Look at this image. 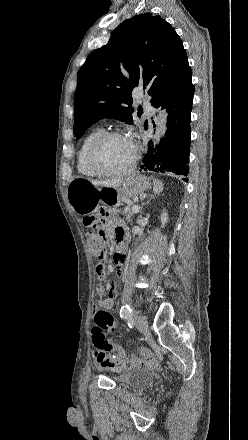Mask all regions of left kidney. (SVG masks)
I'll list each match as a JSON object with an SVG mask.
<instances>
[{
  "label": "left kidney",
  "instance_id": "left-kidney-1",
  "mask_svg": "<svg viewBox=\"0 0 248 440\" xmlns=\"http://www.w3.org/2000/svg\"><path fill=\"white\" fill-rule=\"evenodd\" d=\"M161 224H162V226H165V224L167 223V221H168V214L166 213V211H163L162 212V214H161Z\"/></svg>",
  "mask_w": 248,
  "mask_h": 440
}]
</instances>
